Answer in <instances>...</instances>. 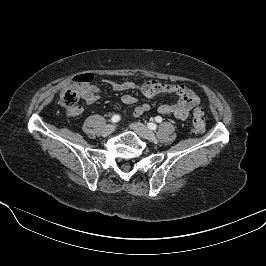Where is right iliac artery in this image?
Returning <instances> with one entry per match:
<instances>
[{"label": "right iliac artery", "instance_id": "1", "mask_svg": "<svg viewBox=\"0 0 266 266\" xmlns=\"http://www.w3.org/2000/svg\"><path fill=\"white\" fill-rule=\"evenodd\" d=\"M120 120V115H114L112 118H111V122L113 123H116Z\"/></svg>", "mask_w": 266, "mask_h": 266}]
</instances>
